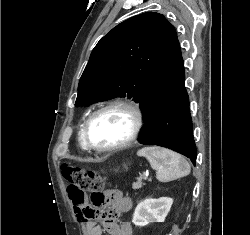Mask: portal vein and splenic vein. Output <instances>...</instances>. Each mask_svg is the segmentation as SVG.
I'll list each match as a JSON object with an SVG mask.
<instances>
[{
  "label": "portal vein and splenic vein",
  "mask_w": 250,
  "mask_h": 235,
  "mask_svg": "<svg viewBox=\"0 0 250 235\" xmlns=\"http://www.w3.org/2000/svg\"><path fill=\"white\" fill-rule=\"evenodd\" d=\"M147 177H148V175H145V176H144V179H146Z\"/></svg>",
  "instance_id": "18ae733b"
}]
</instances>
